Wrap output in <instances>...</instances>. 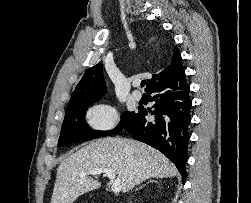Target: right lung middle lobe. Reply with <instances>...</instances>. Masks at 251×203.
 <instances>
[{
  "label": "right lung middle lobe",
  "instance_id": "dd1d6c3e",
  "mask_svg": "<svg viewBox=\"0 0 251 203\" xmlns=\"http://www.w3.org/2000/svg\"><path fill=\"white\" fill-rule=\"evenodd\" d=\"M97 100L69 104L58 141V146H66L78 140L113 135L122 130L135 116V112H124L118 126L110 131H94L85 122L86 109Z\"/></svg>",
  "mask_w": 251,
  "mask_h": 203
}]
</instances>
